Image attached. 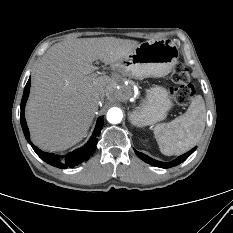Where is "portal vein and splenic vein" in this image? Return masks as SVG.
Listing matches in <instances>:
<instances>
[{
	"mask_svg": "<svg viewBox=\"0 0 233 233\" xmlns=\"http://www.w3.org/2000/svg\"><path fill=\"white\" fill-rule=\"evenodd\" d=\"M91 77H92V78H95V77H96V74H92Z\"/></svg>",
	"mask_w": 233,
	"mask_h": 233,
	"instance_id": "18ae733b",
	"label": "portal vein and splenic vein"
}]
</instances>
